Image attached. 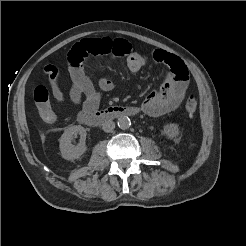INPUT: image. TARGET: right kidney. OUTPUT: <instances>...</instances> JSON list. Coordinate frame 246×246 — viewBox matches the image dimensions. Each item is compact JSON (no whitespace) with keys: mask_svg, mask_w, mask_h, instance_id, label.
I'll use <instances>...</instances> for the list:
<instances>
[{"mask_svg":"<svg viewBox=\"0 0 246 246\" xmlns=\"http://www.w3.org/2000/svg\"><path fill=\"white\" fill-rule=\"evenodd\" d=\"M80 135V143L74 146L71 142L74 136ZM86 130L81 125H75L67 128L60 138L61 155L66 160L79 159L87 150L85 144Z\"/></svg>","mask_w":246,"mask_h":246,"instance_id":"right-kidney-1","label":"right kidney"}]
</instances>
